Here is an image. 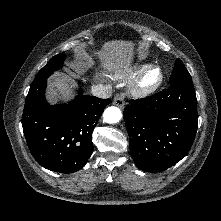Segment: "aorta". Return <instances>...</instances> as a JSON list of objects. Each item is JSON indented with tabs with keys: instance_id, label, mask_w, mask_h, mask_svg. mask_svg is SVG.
Listing matches in <instances>:
<instances>
[{
	"instance_id": "obj_1",
	"label": "aorta",
	"mask_w": 221,
	"mask_h": 221,
	"mask_svg": "<svg viewBox=\"0 0 221 221\" xmlns=\"http://www.w3.org/2000/svg\"><path fill=\"white\" fill-rule=\"evenodd\" d=\"M122 112L118 107L111 106L105 109L103 113V120L106 123L114 124L120 121Z\"/></svg>"
}]
</instances>
